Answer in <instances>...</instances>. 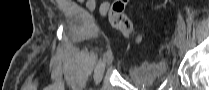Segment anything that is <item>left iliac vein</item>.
Listing matches in <instances>:
<instances>
[{
    "label": "left iliac vein",
    "mask_w": 209,
    "mask_h": 90,
    "mask_svg": "<svg viewBox=\"0 0 209 90\" xmlns=\"http://www.w3.org/2000/svg\"><path fill=\"white\" fill-rule=\"evenodd\" d=\"M175 44L176 46L178 47V49L183 52L184 51V48H185V41L182 37H176L175 38Z\"/></svg>",
    "instance_id": "1"
}]
</instances>
